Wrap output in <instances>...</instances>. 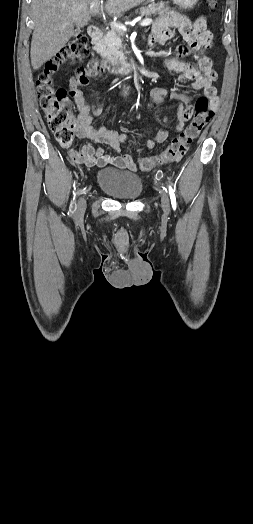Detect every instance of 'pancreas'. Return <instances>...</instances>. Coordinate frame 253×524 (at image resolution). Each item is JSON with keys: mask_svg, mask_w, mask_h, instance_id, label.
<instances>
[{"mask_svg": "<svg viewBox=\"0 0 253 524\" xmlns=\"http://www.w3.org/2000/svg\"><path fill=\"white\" fill-rule=\"evenodd\" d=\"M142 16L159 15L160 18H171L176 15V12L171 10L165 2L151 3L140 9ZM124 35V31L112 28L108 31L101 39L95 42L94 50L106 59L117 60L118 57L123 54L121 51L123 48L121 37Z\"/></svg>", "mask_w": 253, "mask_h": 524, "instance_id": "pancreas-1", "label": "pancreas"}]
</instances>
